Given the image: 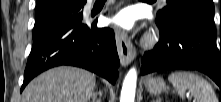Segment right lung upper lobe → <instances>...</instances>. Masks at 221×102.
Returning a JSON list of instances; mask_svg holds the SVG:
<instances>
[{"mask_svg": "<svg viewBox=\"0 0 221 102\" xmlns=\"http://www.w3.org/2000/svg\"><path fill=\"white\" fill-rule=\"evenodd\" d=\"M49 0H37V5L36 8H39L41 6H43L44 4H46ZM85 2V0H82Z\"/></svg>", "mask_w": 221, "mask_h": 102, "instance_id": "right-lung-upper-lobe-1", "label": "right lung upper lobe"}]
</instances>
